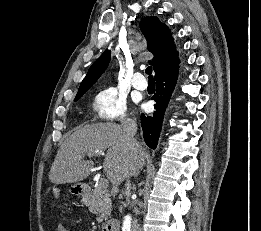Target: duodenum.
Wrapping results in <instances>:
<instances>
[{
    "instance_id": "duodenum-1",
    "label": "duodenum",
    "mask_w": 261,
    "mask_h": 231,
    "mask_svg": "<svg viewBox=\"0 0 261 231\" xmlns=\"http://www.w3.org/2000/svg\"><path fill=\"white\" fill-rule=\"evenodd\" d=\"M88 189H85L87 191ZM104 231H120V223L116 219H112L106 222L104 225Z\"/></svg>"
}]
</instances>
